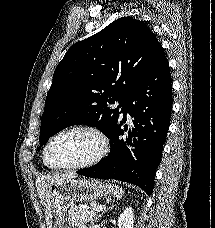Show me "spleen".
I'll return each mask as SVG.
<instances>
[{
  "instance_id": "1",
  "label": "spleen",
  "mask_w": 215,
  "mask_h": 228,
  "mask_svg": "<svg viewBox=\"0 0 215 228\" xmlns=\"http://www.w3.org/2000/svg\"><path fill=\"white\" fill-rule=\"evenodd\" d=\"M108 192H110V194H112L114 198H119V200H121L124 194L123 188H120V186H116V184H109Z\"/></svg>"
}]
</instances>
